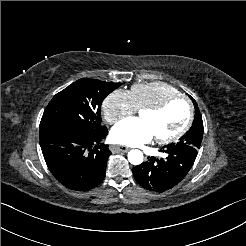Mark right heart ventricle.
<instances>
[{"label": "right heart ventricle", "instance_id": "obj_1", "mask_svg": "<svg viewBox=\"0 0 246 246\" xmlns=\"http://www.w3.org/2000/svg\"><path fill=\"white\" fill-rule=\"evenodd\" d=\"M130 94L136 110L156 105L161 101L178 94L171 85L163 82L136 84L131 87Z\"/></svg>", "mask_w": 246, "mask_h": 246}]
</instances>
